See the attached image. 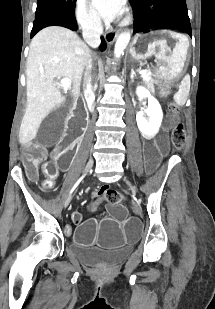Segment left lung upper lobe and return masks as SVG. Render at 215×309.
<instances>
[{
  "label": "left lung upper lobe",
  "instance_id": "5c2ea615",
  "mask_svg": "<svg viewBox=\"0 0 215 309\" xmlns=\"http://www.w3.org/2000/svg\"><path fill=\"white\" fill-rule=\"evenodd\" d=\"M134 32L151 28L178 29L192 36L185 0H130Z\"/></svg>",
  "mask_w": 215,
  "mask_h": 309
}]
</instances>
